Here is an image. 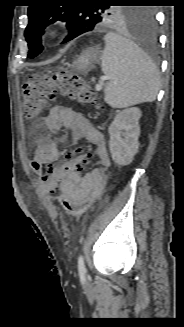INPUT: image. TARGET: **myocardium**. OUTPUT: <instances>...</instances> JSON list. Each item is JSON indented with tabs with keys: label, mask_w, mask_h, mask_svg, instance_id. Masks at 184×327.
<instances>
[{
	"label": "myocardium",
	"mask_w": 184,
	"mask_h": 327,
	"mask_svg": "<svg viewBox=\"0 0 184 327\" xmlns=\"http://www.w3.org/2000/svg\"><path fill=\"white\" fill-rule=\"evenodd\" d=\"M59 34H60V31H59L58 27H48L44 32V36H45L46 40L49 42L56 41L59 37Z\"/></svg>",
	"instance_id": "1"
}]
</instances>
